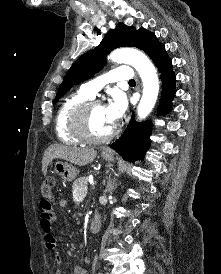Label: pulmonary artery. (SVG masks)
<instances>
[{
  "label": "pulmonary artery",
  "mask_w": 221,
  "mask_h": 274,
  "mask_svg": "<svg viewBox=\"0 0 221 274\" xmlns=\"http://www.w3.org/2000/svg\"><path fill=\"white\" fill-rule=\"evenodd\" d=\"M133 77L134 73L130 67L121 66L111 70L103 76L83 84L81 90L87 95L93 97L105 84L119 81H130Z\"/></svg>",
  "instance_id": "1"
}]
</instances>
